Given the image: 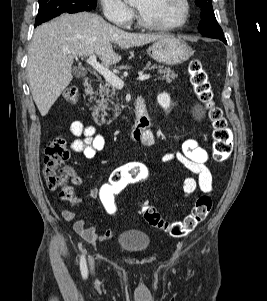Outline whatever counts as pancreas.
Masks as SVG:
<instances>
[{
  "label": "pancreas",
  "instance_id": "obj_1",
  "mask_svg": "<svg viewBox=\"0 0 267 301\" xmlns=\"http://www.w3.org/2000/svg\"><path fill=\"white\" fill-rule=\"evenodd\" d=\"M158 71V79H165L167 82H170L172 79L177 77V74L169 67L164 68L160 65H152L151 62H148L144 67V70H154ZM95 96H91V100L96 102V105L91 108L93 110V117L95 122H100L101 124H110L114 118L118 116L119 104L118 99L116 98V88L110 83L101 82L99 85V90L94 93ZM99 96V99H97ZM111 103L114 108H111L108 103ZM106 110L112 111L113 116H109L108 120L105 119L107 116ZM101 113V115H99Z\"/></svg>",
  "mask_w": 267,
  "mask_h": 301
}]
</instances>
